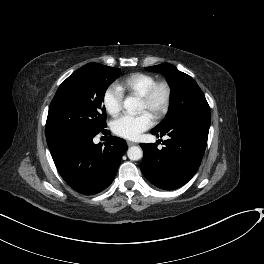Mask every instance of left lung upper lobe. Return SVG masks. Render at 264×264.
<instances>
[{
    "label": "left lung upper lobe",
    "instance_id": "obj_1",
    "mask_svg": "<svg viewBox=\"0 0 264 264\" xmlns=\"http://www.w3.org/2000/svg\"><path fill=\"white\" fill-rule=\"evenodd\" d=\"M148 71L164 74L172 88L169 114L151 131L160 132L192 115H210L208 102L195 80L169 63L146 67Z\"/></svg>",
    "mask_w": 264,
    "mask_h": 264
}]
</instances>
